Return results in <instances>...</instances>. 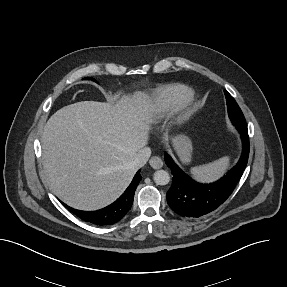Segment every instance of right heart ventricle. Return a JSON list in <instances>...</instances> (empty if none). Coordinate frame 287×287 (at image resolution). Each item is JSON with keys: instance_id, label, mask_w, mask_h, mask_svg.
<instances>
[{"instance_id": "1", "label": "right heart ventricle", "mask_w": 287, "mask_h": 287, "mask_svg": "<svg viewBox=\"0 0 287 287\" xmlns=\"http://www.w3.org/2000/svg\"><path fill=\"white\" fill-rule=\"evenodd\" d=\"M190 90L183 85H168L160 88L156 94L158 115L162 116L189 94Z\"/></svg>"}]
</instances>
